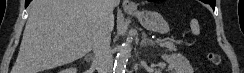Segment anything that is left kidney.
I'll return each mask as SVG.
<instances>
[{"instance_id": "1", "label": "left kidney", "mask_w": 244, "mask_h": 73, "mask_svg": "<svg viewBox=\"0 0 244 73\" xmlns=\"http://www.w3.org/2000/svg\"><path fill=\"white\" fill-rule=\"evenodd\" d=\"M161 57L169 64L173 73H194L188 59L180 53H174L171 55L164 54Z\"/></svg>"}]
</instances>
